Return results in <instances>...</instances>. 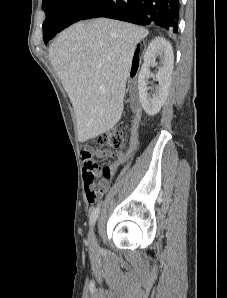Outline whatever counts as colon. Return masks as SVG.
Masks as SVG:
<instances>
[{
  "label": "colon",
  "instance_id": "obj_1",
  "mask_svg": "<svg viewBox=\"0 0 227 298\" xmlns=\"http://www.w3.org/2000/svg\"><path fill=\"white\" fill-rule=\"evenodd\" d=\"M130 109H134L135 106L129 104ZM99 144L105 150H122L125 146V137L122 130L114 128L104 133L99 137ZM86 197L90 203H95L100 197L97 189L91 188L86 190Z\"/></svg>",
  "mask_w": 227,
  "mask_h": 298
}]
</instances>
